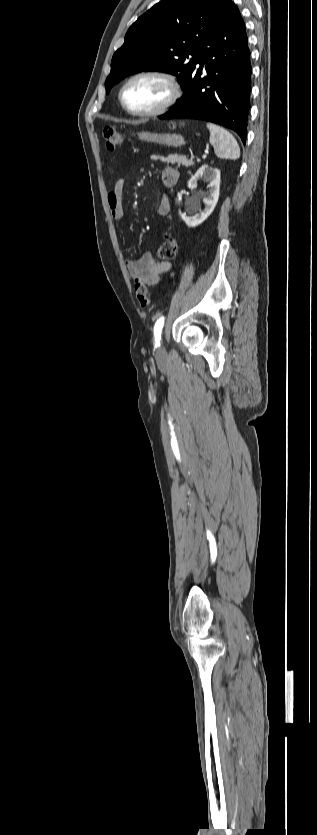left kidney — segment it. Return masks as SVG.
Here are the masks:
<instances>
[{"label": "left kidney", "instance_id": "1", "mask_svg": "<svg viewBox=\"0 0 317 835\" xmlns=\"http://www.w3.org/2000/svg\"><path fill=\"white\" fill-rule=\"evenodd\" d=\"M201 179L209 182V191L203 196V203L205 204L204 210H201L199 205H197L196 209H199V212L194 216H187L186 213H182L181 210H179L180 217L189 227H196L203 223L211 215L219 199L220 170L218 168H212L206 164L201 166L195 175L189 180L188 187L196 188L199 180Z\"/></svg>", "mask_w": 317, "mask_h": 835}]
</instances>
